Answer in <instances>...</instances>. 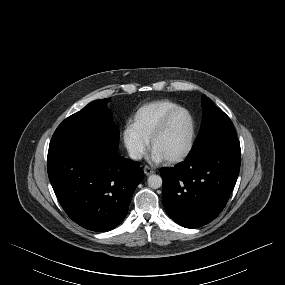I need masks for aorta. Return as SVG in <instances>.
<instances>
[{
  "mask_svg": "<svg viewBox=\"0 0 285 285\" xmlns=\"http://www.w3.org/2000/svg\"><path fill=\"white\" fill-rule=\"evenodd\" d=\"M147 182L152 189H158L162 186V178L159 175H150Z\"/></svg>",
  "mask_w": 285,
  "mask_h": 285,
  "instance_id": "obj_1",
  "label": "aorta"
}]
</instances>
